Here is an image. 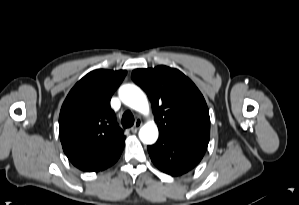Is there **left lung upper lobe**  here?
I'll list each match as a JSON object with an SVG mask.
<instances>
[{
    "instance_id": "obj_1",
    "label": "left lung upper lobe",
    "mask_w": 299,
    "mask_h": 205,
    "mask_svg": "<svg viewBox=\"0 0 299 205\" xmlns=\"http://www.w3.org/2000/svg\"><path fill=\"white\" fill-rule=\"evenodd\" d=\"M132 79L151 101L159 137L178 136L209 142L207 104L195 84L182 72L167 66L136 69Z\"/></svg>"
}]
</instances>
